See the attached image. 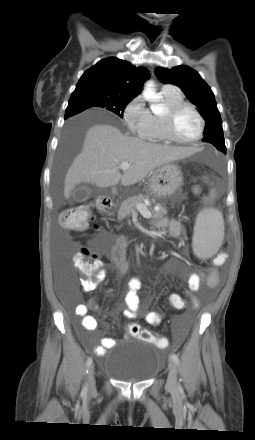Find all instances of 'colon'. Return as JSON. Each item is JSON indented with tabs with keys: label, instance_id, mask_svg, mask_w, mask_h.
I'll use <instances>...</instances> for the list:
<instances>
[{
	"label": "colon",
	"instance_id": "5ec220e1",
	"mask_svg": "<svg viewBox=\"0 0 255 440\" xmlns=\"http://www.w3.org/2000/svg\"><path fill=\"white\" fill-rule=\"evenodd\" d=\"M91 220L92 210L88 204L66 209L59 217L60 224L71 230H85ZM90 257L91 253L87 249H83L77 254L75 259V266L83 275L82 285L87 289L94 287L95 281L102 270L101 266L92 261ZM167 303L172 311H184L188 300L187 298H169ZM128 330L133 336L142 341L150 342L153 346L166 348L169 345L165 334H155L137 323L129 324Z\"/></svg>",
	"mask_w": 255,
	"mask_h": 440
}]
</instances>
